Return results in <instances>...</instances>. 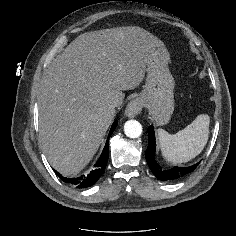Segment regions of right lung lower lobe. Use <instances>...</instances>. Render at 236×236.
<instances>
[{
  "label": "right lung lower lobe",
  "mask_w": 236,
  "mask_h": 236,
  "mask_svg": "<svg viewBox=\"0 0 236 236\" xmlns=\"http://www.w3.org/2000/svg\"><path fill=\"white\" fill-rule=\"evenodd\" d=\"M117 125H118L117 122L113 123V125H112V127L110 129V132H109V135H108L105 147H104V149H103V151L101 153V156L99 157L98 161L94 165V170H92L89 174L82 175V176L77 177V178H66V177H63L57 171H55V173L65 183L70 184V185H72V186H74L76 188H86V187H90L93 184H95L98 181V179L100 178V176L102 175V173H103V171L105 169V166L107 164L108 157H109V138H110L111 134L113 133V131L115 130Z\"/></svg>",
  "instance_id": "right-lung-lower-lobe-1"
}]
</instances>
